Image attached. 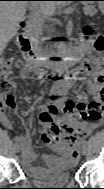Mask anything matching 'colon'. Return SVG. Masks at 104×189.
<instances>
[{
    "label": "colon",
    "mask_w": 104,
    "mask_h": 189,
    "mask_svg": "<svg viewBox=\"0 0 104 189\" xmlns=\"http://www.w3.org/2000/svg\"><path fill=\"white\" fill-rule=\"evenodd\" d=\"M83 37L87 42H90L94 50L97 53L104 51V36L98 34L93 28H86L83 32ZM24 64L19 59H6L3 62V75L0 80V95H1V106L12 107L14 105V98L9 93L11 89V76L14 68H20ZM93 74L98 81L102 80V64L99 57L94 59L93 63ZM76 105L70 100L62 105L50 104L40 113L42 126V140L45 144L53 147L58 151H66L69 149L70 144L66 136L60 135V127L56 121L58 118L65 114H68L76 109ZM86 114L95 116L97 114H103V107L101 103H91L84 107Z\"/></svg>",
    "instance_id": "obj_1"
}]
</instances>
